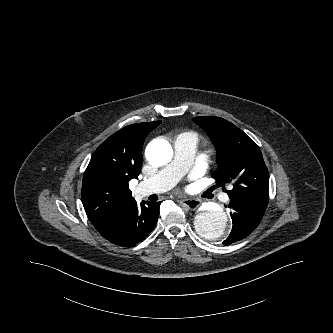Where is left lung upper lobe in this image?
<instances>
[{
	"instance_id": "5c2ea615",
	"label": "left lung upper lobe",
	"mask_w": 333,
	"mask_h": 333,
	"mask_svg": "<svg viewBox=\"0 0 333 333\" xmlns=\"http://www.w3.org/2000/svg\"><path fill=\"white\" fill-rule=\"evenodd\" d=\"M214 143L218 169L212 174L230 200L266 210L269 201V173L254 141L231 122L213 116L195 117Z\"/></svg>"
}]
</instances>
